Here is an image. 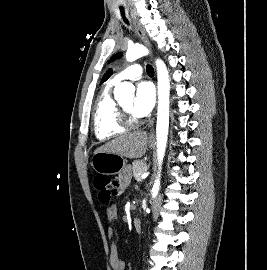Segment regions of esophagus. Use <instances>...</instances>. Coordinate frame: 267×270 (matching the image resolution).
<instances>
[{
    "label": "esophagus",
    "instance_id": "34e87169",
    "mask_svg": "<svg viewBox=\"0 0 267 270\" xmlns=\"http://www.w3.org/2000/svg\"><path fill=\"white\" fill-rule=\"evenodd\" d=\"M131 17H132V21H133V24L135 26V29H136V32H137L138 36L141 38V40L144 42V44L149 48V50H151V44H150L144 30L142 29L140 23L138 22V20L136 18V15L132 11H131ZM153 125H154V119L151 122V130H150V133H149L150 137L154 136Z\"/></svg>",
    "mask_w": 267,
    "mask_h": 270
}]
</instances>
